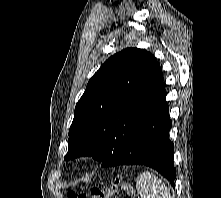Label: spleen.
Listing matches in <instances>:
<instances>
[{"label":"spleen","instance_id":"3e777b00","mask_svg":"<svg viewBox=\"0 0 221 198\" xmlns=\"http://www.w3.org/2000/svg\"><path fill=\"white\" fill-rule=\"evenodd\" d=\"M136 190L141 198H172L166 185L148 171L137 177Z\"/></svg>","mask_w":221,"mask_h":198}]
</instances>
